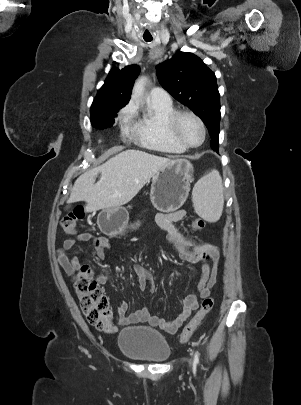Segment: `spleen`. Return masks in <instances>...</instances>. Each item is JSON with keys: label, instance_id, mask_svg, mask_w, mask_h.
Returning a JSON list of instances; mask_svg holds the SVG:
<instances>
[{"label": "spleen", "instance_id": "1", "mask_svg": "<svg viewBox=\"0 0 301 405\" xmlns=\"http://www.w3.org/2000/svg\"><path fill=\"white\" fill-rule=\"evenodd\" d=\"M193 201L198 214L209 222L219 220L222 215L224 197L222 179L214 170L201 178L193 189Z\"/></svg>", "mask_w": 301, "mask_h": 405}]
</instances>
